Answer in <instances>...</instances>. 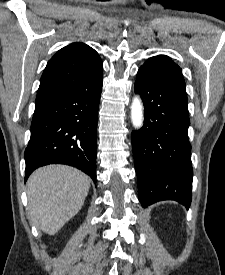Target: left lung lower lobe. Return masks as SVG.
I'll use <instances>...</instances> for the list:
<instances>
[{"mask_svg": "<svg viewBox=\"0 0 225 275\" xmlns=\"http://www.w3.org/2000/svg\"><path fill=\"white\" fill-rule=\"evenodd\" d=\"M135 92L145 107L144 125L132 132L139 201L147 207L175 200L188 208L193 172L187 94L140 69Z\"/></svg>", "mask_w": 225, "mask_h": 275, "instance_id": "1", "label": "left lung lower lobe"}]
</instances>
